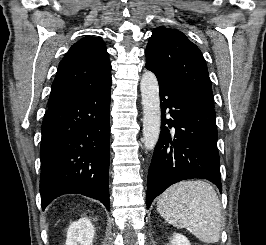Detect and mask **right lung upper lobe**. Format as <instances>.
<instances>
[{
  "label": "right lung upper lobe",
  "instance_id": "cb5924a9",
  "mask_svg": "<svg viewBox=\"0 0 266 245\" xmlns=\"http://www.w3.org/2000/svg\"><path fill=\"white\" fill-rule=\"evenodd\" d=\"M112 82L111 63L102 39L87 36L75 43L59 64L48 108L77 92Z\"/></svg>",
  "mask_w": 266,
  "mask_h": 245
}]
</instances>
